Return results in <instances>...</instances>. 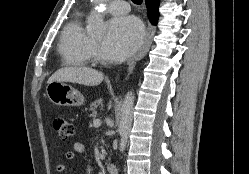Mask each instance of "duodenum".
<instances>
[{"instance_id":"obj_1","label":"duodenum","mask_w":249,"mask_h":174,"mask_svg":"<svg viewBox=\"0 0 249 174\" xmlns=\"http://www.w3.org/2000/svg\"><path fill=\"white\" fill-rule=\"evenodd\" d=\"M107 172L108 174H118V167L115 164H108L107 165Z\"/></svg>"}]
</instances>
